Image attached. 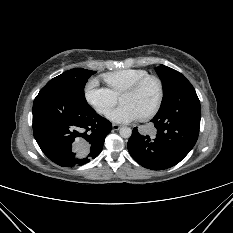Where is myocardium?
Instances as JSON below:
<instances>
[{
	"label": "myocardium",
	"instance_id": "obj_1",
	"mask_svg": "<svg viewBox=\"0 0 233 233\" xmlns=\"http://www.w3.org/2000/svg\"><path fill=\"white\" fill-rule=\"evenodd\" d=\"M150 80H154L157 82L158 87H159V96H158L157 102L154 105V107L148 113L140 117V120L142 121H146V120L153 118L158 113V111L160 110L162 106L163 99H164V84L161 78L156 75H152V74L146 75L140 78L139 80H137L136 82H134L133 84H131L130 86H128L122 92V94L137 92Z\"/></svg>",
	"mask_w": 233,
	"mask_h": 233
}]
</instances>
